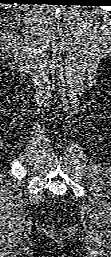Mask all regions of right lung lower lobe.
<instances>
[{
    "instance_id": "98d812e1",
    "label": "right lung lower lobe",
    "mask_w": 111,
    "mask_h": 257,
    "mask_svg": "<svg viewBox=\"0 0 111 257\" xmlns=\"http://www.w3.org/2000/svg\"><path fill=\"white\" fill-rule=\"evenodd\" d=\"M1 3H13L14 0H0Z\"/></svg>"
}]
</instances>
